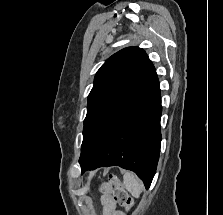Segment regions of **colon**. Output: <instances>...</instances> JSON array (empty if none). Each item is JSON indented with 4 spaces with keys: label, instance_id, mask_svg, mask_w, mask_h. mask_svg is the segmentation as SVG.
<instances>
[{
    "label": "colon",
    "instance_id": "1",
    "mask_svg": "<svg viewBox=\"0 0 223 215\" xmlns=\"http://www.w3.org/2000/svg\"><path fill=\"white\" fill-rule=\"evenodd\" d=\"M110 182L113 184L114 189L112 192V199L116 204L130 210L133 206V199L125 190L121 181L114 175H110Z\"/></svg>",
    "mask_w": 223,
    "mask_h": 215
}]
</instances>
